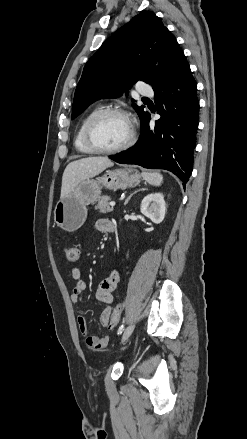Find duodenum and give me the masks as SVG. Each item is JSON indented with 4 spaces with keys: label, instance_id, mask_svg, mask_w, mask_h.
<instances>
[{
    "label": "duodenum",
    "instance_id": "410a0bca",
    "mask_svg": "<svg viewBox=\"0 0 247 439\" xmlns=\"http://www.w3.org/2000/svg\"><path fill=\"white\" fill-rule=\"evenodd\" d=\"M115 228L114 226L111 227V232H114Z\"/></svg>",
    "mask_w": 247,
    "mask_h": 439
}]
</instances>
